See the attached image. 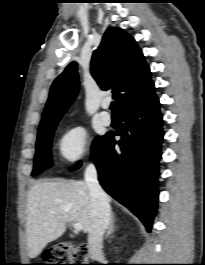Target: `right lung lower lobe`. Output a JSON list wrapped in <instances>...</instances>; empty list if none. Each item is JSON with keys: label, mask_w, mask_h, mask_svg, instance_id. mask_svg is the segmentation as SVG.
I'll return each instance as SVG.
<instances>
[{"label": "right lung lower lobe", "mask_w": 205, "mask_h": 265, "mask_svg": "<svg viewBox=\"0 0 205 265\" xmlns=\"http://www.w3.org/2000/svg\"><path fill=\"white\" fill-rule=\"evenodd\" d=\"M119 129L107 133L92 154L105 191L126 206L151 231L157 208L158 161L163 139L160 103L155 92L120 112ZM120 146V151L114 145Z\"/></svg>", "instance_id": "right-lung-lower-lobe-1"}]
</instances>
